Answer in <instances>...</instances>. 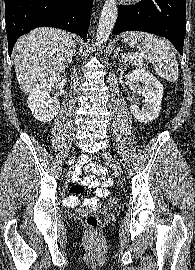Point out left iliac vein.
Wrapping results in <instances>:
<instances>
[{
	"instance_id": "left-iliac-vein-1",
	"label": "left iliac vein",
	"mask_w": 195,
	"mask_h": 270,
	"mask_svg": "<svg viewBox=\"0 0 195 270\" xmlns=\"http://www.w3.org/2000/svg\"><path fill=\"white\" fill-rule=\"evenodd\" d=\"M102 155L107 160V162L110 164V166L114 170L115 174L119 176L123 172V170H122L120 164L118 163V161L116 160V158L111 156V154L106 152V151H104L102 153Z\"/></svg>"
}]
</instances>
